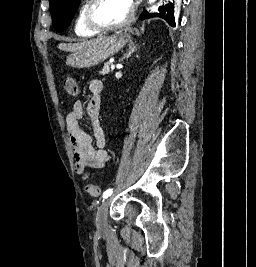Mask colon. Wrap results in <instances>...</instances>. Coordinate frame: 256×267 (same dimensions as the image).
Wrapping results in <instances>:
<instances>
[{"instance_id": "5ec220e1", "label": "colon", "mask_w": 256, "mask_h": 267, "mask_svg": "<svg viewBox=\"0 0 256 267\" xmlns=\"http://www.w3.org/2000/svg\"><path fill=\"white\" fill-rule=\"evenodd\" d=\"M64 88L67 96L69 97H77L79 95V86L76 81L67 76L64 79ZM87 193L92 197H99L101 195L102 189L99 185L96 184H88L85 186Z\"/></svg>"}]
</instances>
